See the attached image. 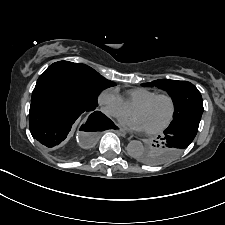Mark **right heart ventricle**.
I'll use <instances>...</instances> for the list:
<instances>
[{
    "label": "right heart ventricle",
    "instance_id": "obj_1",
    "mask_svg": "<svg viewBox=\"0 0 225 225\" xmlns=\"http://www.w3.org/2000/svg\"><path fill=\"white\" fill-rule=\"evenodd\" d=\"M155 94H157V92L151 89L135 88L126 93L124 96V102L129 106H134Z\"/></svg>",
    "mask_w": 225,
    "mask_h": 225
}]
</instances>
